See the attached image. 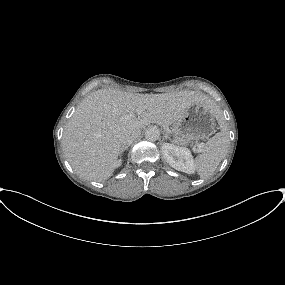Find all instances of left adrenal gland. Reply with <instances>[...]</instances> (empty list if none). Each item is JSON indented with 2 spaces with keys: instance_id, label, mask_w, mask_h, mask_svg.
I'll list each match as a JSON object with an SVG mask.
<instances>
[{
  "instance_id": "a2214340",
  "label": "left adrenal gland",
  "mask_w": 285,
  "mask_h": 285,
  "mask_svg": "<svg viewBox=\"0 0 285 285\" xmlns=\"http://www.w3.org/2000/svg\"><path fill=\"white\" fill-rule=\"evenodd\" d=\"M163 139H169L168 135L165 134Z\"/></svg>"
}]
</instances>
